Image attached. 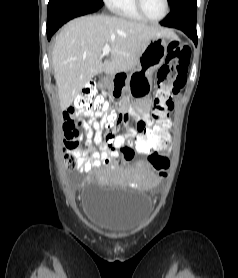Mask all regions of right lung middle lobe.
Segmentation results:
<instances>
[{"label": "right lung middle lobe", "mask_w": 238, "mask_h": 278, "mask_svg": "<svg viewBox=\"0 0 238 278\" xmlns=\"http://www.w3.org/2000/svg\"><path fill=\"white\" fill-rule=\"evenodd\" d=\"M87 1L98 4V5H101V6L103 4L102 0H87Z\"/></svg>", "instance_id": "1"}]
</instances>
